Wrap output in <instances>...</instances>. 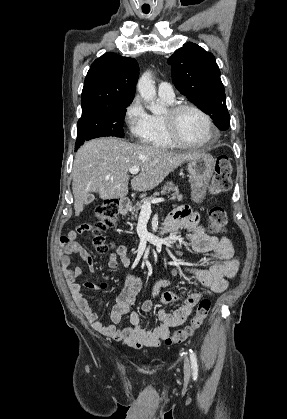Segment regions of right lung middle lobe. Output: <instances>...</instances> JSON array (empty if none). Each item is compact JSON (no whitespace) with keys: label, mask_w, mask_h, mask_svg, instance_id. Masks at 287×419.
<instances>
[{"label":"right lung middle lobe","mask_w":287,"mask_h":419,"mask_svg":"<svg viewBox=\"0 0 287 419\" xmlns=\"http://www.w3.org/2000/svg\"><path fill=\"white\" fill-rule=\"evenodd\" d=\"M130 103L112 104L82 112L77 124L75 149L97 137H124V117Z\"/></svg>","instance_id":"dd1d6c3e"}]
</instances>
